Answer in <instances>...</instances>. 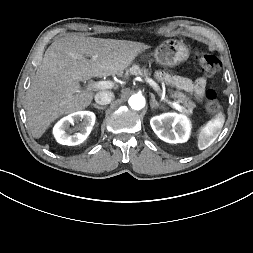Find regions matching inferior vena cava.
<instances>
[{
  "mask_svg": "<svg viewBox=\"0 0 253 253\" xmlns=\"http://www.w3.org/2000/svg\"><path fill=\"white\" fill-rule=\"evenodd\" d=\"M95 101L100 105H107L114 99V94L111 91H100L95 94Z\"/></svg>",
  "mask_w": 253,
  "mask_h": 253,
  "instance_id": "1",
  "label": "inferior vena cava"
}]
</instances>
